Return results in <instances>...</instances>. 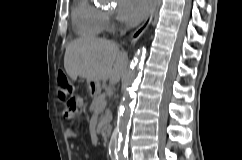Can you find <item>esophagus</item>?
<instances>
[{"label":"esophagus","instance_id":"1","mask_svg":"<svg viewBox=\"0 0 242 160\" xmlns=\"http://www.w3.org/2000/svg\"><path fill=\"white\" fill-rule=\"evenodd\" d=\"M158 0H153V5L150 11V14L145 19V21L132 33L131 35V44H135L137 40L141 37V35L146 31L149 24L151 23L153 16L155 14L156 8H157Z\"/></svg>","mask_w":242,"mask_h":160}]
</instances>
